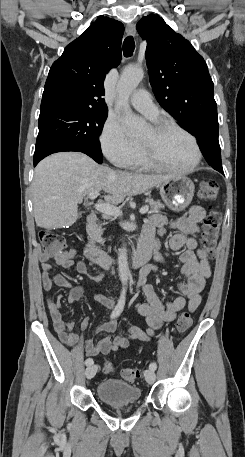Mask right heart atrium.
Instances as JSON below:
<instances>
[{"label": "right heart atrium", "instance_id": "d8ad5b80", "mask_svg": "<svg viewBox=\"0 0 245 457\" xmlns=\"http://www.w3.org/2000/svg\"><path fill=\"white\" fill-rule=\"evenodd\" d=\"M100 142L107 158L117 164H124L137 150V145L128 137L121 121L114 117L106 119Z\"/></svg>", "mask_w": 245, "mask_h": 457}]
</instances>
